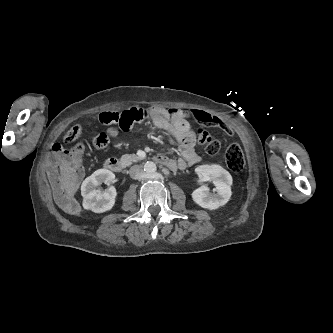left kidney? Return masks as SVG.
Here are the masks:
<instances>
[{
  "instance_id": "left-kidney-1",
  "label": "left kidney",
  "mask_w": 333,
  "mask_h": 333,
  "mask_svg": "<svg viewBox=\"0 0 333 333\" xmlns=\"http://www.w3.org/2000/svg\"><path fill=\"white\" fill-rule=\"evenodd\" d=\"M196 174L205 181H212L215 185L211 193L205 185L195 189L192 198L202 208L214 210L225 205L231 197L232 177L220 165H200L195 169Z\"/></svg>"
}]
</instances>
